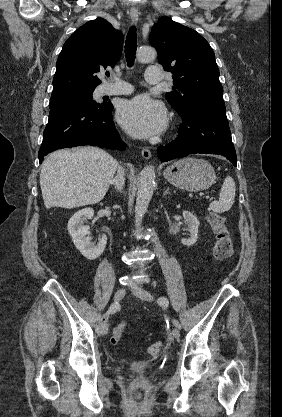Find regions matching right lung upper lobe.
Wrapping results in <instances>:
<instances>
[{"instance_id":"obj_1","label":"right lung upper lobe","mask_w":282,"mask_h":417,"mask_svg":"<svg viewBox=\"0 0 282 417\" xmlns=\"http://www.w3.org/2000/svg\"><path fill=\"white\" fill-rule=\"evenodd\" d=\"M123 34L103 18L88 21L64 43L56 64L53 93L95 89L100 70L114 67L122 54Z\"/></svg>"}]
</instances>
